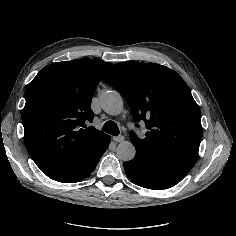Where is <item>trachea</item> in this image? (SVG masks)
<instances>
[{
    "label": "trachea",
    "instance_id": "obj_1",
    "mask_svg": "<svg viewBox=\"0 0 236 236\" xmlns=\"http://www.w3.org/2000/svg\"><path fill=\"white\" fill-rule=\"evenodd\" d=\"M102 131L111 134L113 136H118L120 131L117 124L114 121H107L102 127Z\"/></svg>",
    "mask_w": 236,
    "mask_h": 236
}]
</instances>
